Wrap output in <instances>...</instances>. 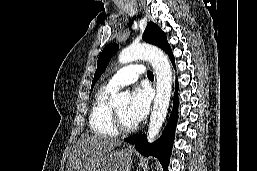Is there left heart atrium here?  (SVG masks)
Wrapping results in <instances>:
<instances>
[{
    "instance_id": "left-heart-atrium-1",
    "label": "left heart atrium",
    "mask_w": 257,
    "mask_h": 171,
    "mask_svg": "<svg viewBox=\"0 0 257 171\" xmlns=\"http://www.w3.org/2000/svg\"><path fill=\"white\" fill-rule=\"evenodd\" d=\"M151 104V95L147 88L137 87L132 92L128 108L129 117L135 122L142 121L148 114Z\"/></svg>"
}]
</instances>
